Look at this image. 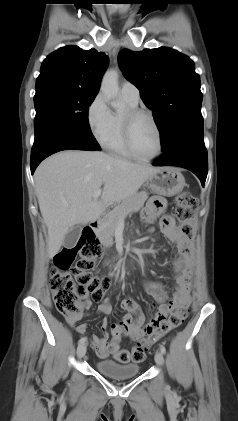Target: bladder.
<instances>
[{
	"mask_svg": "<svg viewBox=\"0 0 238 421\" xmlns=\"http://www.w3.org/2000/svg\"><path fill=\"white\" fill-rule=\"evenodd\" d=\"M95 366L101 374L113 379L133 378L140 370L135 363H119L111 359L98 360Z\"/></svg>",
	"mask_w": 238,
	"mask_h": 421,
	"instance_id": "obj_1",
	"label": "bladder"
}]
</instances>
